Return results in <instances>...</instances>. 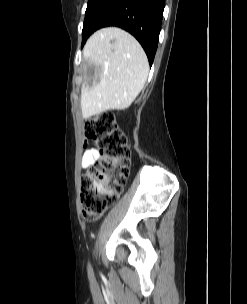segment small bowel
Segmentation results:
<instances>
[{"label":"small bowel","instance_id":"c3829d8e","mask_svg":"<svg viewBox=\"0 0 247 304\" xmlns=\"http://www.w3.org/2000/svg\"><path fill=\"white\" fill-rule=\"evenodd\" d=\"M100 154L96 148L87 149L82 158V168L88 169L95 164V162L99 159Z\"/></svg>","mask_w":247,"mask_h":304}]
</instances>
